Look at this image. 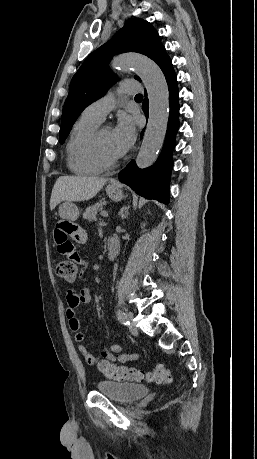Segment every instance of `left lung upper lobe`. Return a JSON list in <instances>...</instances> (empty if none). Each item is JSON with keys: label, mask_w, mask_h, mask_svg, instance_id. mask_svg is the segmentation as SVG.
Wrapping results in <instances>:
<instances>
[{"label": "left lung upper lobe", "mask_w": 257, "mask_h": 459, "mask_svg": "<svg viewBox=\"0 0 257 459\" xmlns=\"http://www.w3.org/2000/svg\"><path fill=\"white\" fill-rule=\"evenodd\" d=\"M123 52L144 54L158 65L166 57L165 47L151 23L140 18L128 20L110 41L86 58L73 76L62 112L59 132L61 144L81 112L101 98L117 81L108 64L113 55ZM135 78L140 80L137 76Z\"/></svg>", "instance_id": "left-lung-upper-lobe-1"}]
</instances>
